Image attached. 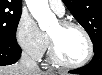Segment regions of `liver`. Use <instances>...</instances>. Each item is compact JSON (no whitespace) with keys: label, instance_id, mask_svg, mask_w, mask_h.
Instances as JSON below:
<instances>
[{"label":"liver","instance_id":"6515ba94","mask_svg":"<svg viewBox=\"0 0 102 75\" xmlns=\"http://www.w3.org/2000/svg\"><path fill=\"white\" fill-rule=\"evenodd\" d=\"M0 75H49L46 72L39 70H28L27 68L16 63L11 66H4L0 68Z\"/></svg>","mask_w":102,"mask_h":75}]
</instances>
